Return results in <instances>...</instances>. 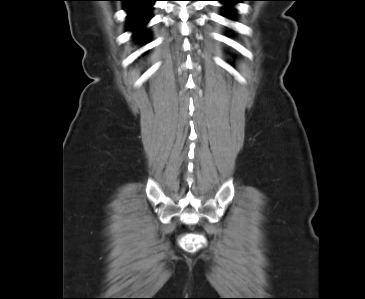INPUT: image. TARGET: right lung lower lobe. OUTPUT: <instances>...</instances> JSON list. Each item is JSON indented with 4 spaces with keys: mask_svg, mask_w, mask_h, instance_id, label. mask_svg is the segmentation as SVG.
<instances>
[{
    "mask_svg": "<svg viewBox=\"0 0 365 299\" xmlns=\"http://www.w3.org/2000/svg\"><path fill=\"white\" fill-rule=\"evenodd\" d=\"M127 11V27L135 37H143L144 26L151 19V10L156 0H121Z\"/></svg>",
    "mask_w": 365,
    "mask_h": 299,
    "instance_id": "obj_1",
    "label": "right lung lower lobe"
}]
</instances>
